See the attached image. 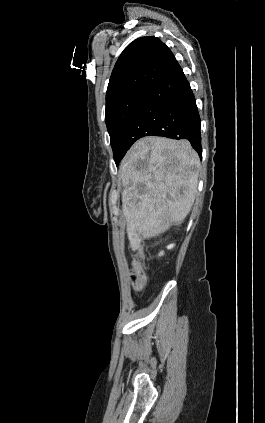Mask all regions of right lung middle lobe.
I'll list each match as a JSON object with an SVG mask.
<instances>
[{
	"label": "right lung middle lobe",
	"mask_w": 265,
	"mask_h": 423,
	"mask_svg": "<svg viewBox=\"0 0 265 423\" xmlns=\"http://www.w3.org/2000/svg\"><path fill=\"white\" fill-rule=\"evenodd\" d=\"M148 91H137L130 93L106 108L105 121L110 135V143L113 149L116 165L124 156L120 149V138L123 129L146 98Z\"/></svg>",
	"instance_id": "1"
}]
</instances>
